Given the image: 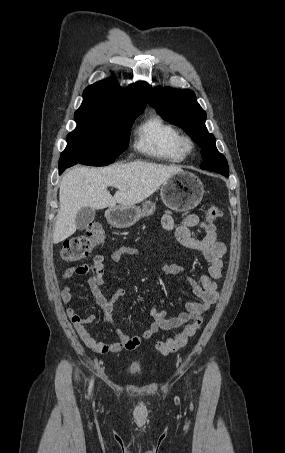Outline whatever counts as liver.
I'll use <instances>...</instances> for the list:
<instances>
[{"mask_svg": "<svg viewBox=\"0 0 285 453\" xmlns=\"http://www.w3.org/2000/svg\"><path fill=\"white\" fill-rule=\"evenodd\" d=\"M182 169L143 161L106 168L75 167L60 182L58 210L53 243L72 236L77 229L76 216L83 207L104 209L134 206L152 195L166 180ZM118 188L114 196L108 187Z\"/></svg>", "mask_w": 285, "mask_h": 453, "instance_id": "obj_1", "label": "liver"}]
</instances>
